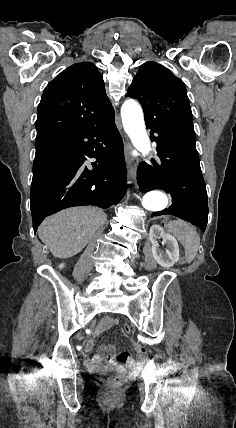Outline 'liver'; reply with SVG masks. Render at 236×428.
<instances>
[{"instance_id": "obj_1", "label": "liver", "mask_w": 236, "mask_h": 428, "mask_svg": "<svg viewBox=\"0 0 236 428\" xmlns=\"http://www.w3.org/2000/svg\"><path fill=\"white\" fill-rule=\"evenodd\" d=\"M106 220L100 208H68L45 218L38 236L54 258H72L82 252Z\"/></svg>"}]
</instances>
